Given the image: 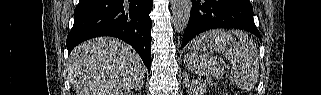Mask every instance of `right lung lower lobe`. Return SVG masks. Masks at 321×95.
Segmentation results:
<instances>
[{"mask_svg":"<svg viewBox=\"0 0 321 95\" xmlns=\"http://www.w3.org/2000/svg\"><path fill=\"white\" fill-rule=\"evenodd\" d=\"M153 0H79L67 37L68 53L79 43L112 36L130 44L150 70Z\"/></svg>","mask_w":321,"mask_h":95,"instance_id":"1","label":"right lung lower lobe"}]
</instances>
